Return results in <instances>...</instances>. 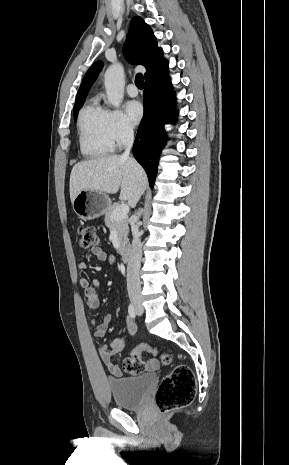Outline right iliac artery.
Masks as SVG:
<instances>
[{
	"instance_id": "82829eb1",
	"label": "right iliac artery",
	"mask_w": 289,
	"mask_h": 465,
	"mask_svg": "<svg viewBox=\"0 0 289 465\" xmlns=\"http://www.w3.org/2000/svg\"><path fill=\"white\" fill-rule=\"evenodd\" d=\"M128 313H129V316L132 319H134L136 317L135 309H134V306L132 304H130L129 307H128Z\"/></svg>"
}]
</instances>
